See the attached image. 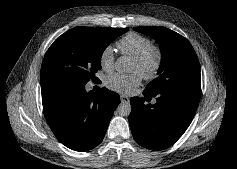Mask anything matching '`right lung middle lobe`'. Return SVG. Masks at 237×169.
Returning <instances> with one entry per match:
<instances>
[{
    "label": "right lung middle lobe",
    "mask_w": 237,
    "mask_h": 169,
    "mask_svg": "<svg viewBox=\"0 0 237 169\" xmlns=\"http://www.w3.org/2000/svg\"><path fill=\"white\" fill-rule=\"evenodd\" d=\"M127 28L75 27L58 37L48 49L41 68V84L72 82L85 85L101 69L106 47Z\"/></svg>",
    "instance_id": "1"
}]
</instances>
